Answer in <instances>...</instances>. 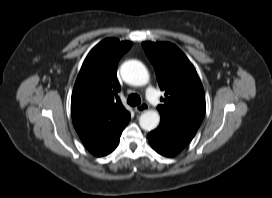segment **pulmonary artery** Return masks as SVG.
Returning a JSON list of instances; mask_svg holds the SVG:
<instances>
[{
  "label": "pulmonary artery",
  "mask_w": 272,
  "mask_h": 198,
  "mask_svg": "<svg viewBox=\"0 0 272 198\" xmlns=\"http://www.w3.org/2000/svg\"><path fill=\"white\" fill-rule=\"evenodd\" d=\"M148 97L150 100H152L153 102H157V95L155 91H150L148 93Z\"/></svg>",
  "instance_id": "obj_1"
}]
</instances>
